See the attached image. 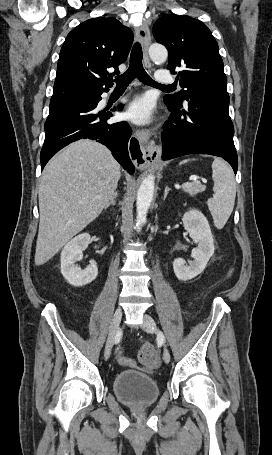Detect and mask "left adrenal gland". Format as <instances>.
<instances>
[{"label":"left adrenal gland","instance_id":"1","mask_svg":"<svg viewBox=\"0 0 272 455\" xmlns=\"http://www.w3.org/2000/svg\"><path fill=\"white\" fill-rule=\"evenodd\" d=\"M169 191H170V188L168 186H166L165 187V191H164V197H163L164 200L166 199L167 194H168Z\"/></svg>","mask_w":272,"mask_h":455}]
</instances>
